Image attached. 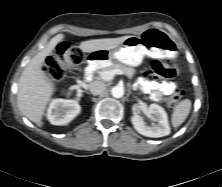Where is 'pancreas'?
Here are the masks:
<instances>
[{
    "instance_id": "pancreas-1",
    "label": "pancreas",
    "mask_w": 222,
    "mask_h": 187,
    "mask_svg": "<svg viewBox=\"0 0 222 187\" xmlns=\"http://www.w3.org/2000/svg\"><path fill=\"white\" fill-rule=\"evenodd\" d=\"M115 69H119L121 70L126 76H128L129 78H132L133 75L135 74V69H133L132 67H128L119 63H112L109 66L103 68L101 72L103 71H111V70H115Z\"/></svg>"
}]
</instances>
